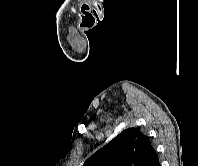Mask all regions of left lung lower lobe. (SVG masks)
I'll use <instances>...</instances> for the list:
<instances>
[{
  "instance_id": "obj_1",
  "label": "left lung lower lobe",
  "mask_w": 198,
  "mask_h": 166,
  "mask_svg": "<svg viewBox=\"0 0 198 166\" xmlns=\"http://www.w3.org/2000/svg\"><path fill=\"white\" fill-rule=\"evenodd\" d=\"M151 166H161L160 162L158 160V157H156V159L153 161V163L151 164Z\"/></svg>"
}]
</instances>
